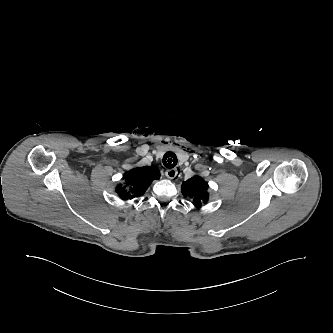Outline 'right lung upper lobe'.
Segmentation results:
<instances>
[{"mask_svg": "<svg viewBox=\"0 0 333 333\" xmlns=\"http://www.w3.org/2000/svg\"><path fill=\"white\" fill-rule=\"evenodd\" d=\"M160 173L158 168L152 167H137L127 171L123 179L125 186L119 184L116 188L118 195L124 199H132L143 195L154 179H159ZM129 188V190H128Z\"/></svg>", "mask_w": 333, "mask_h": 333, "instance_id": "1", "label": "right lung upper lobe"}]
</instances>
